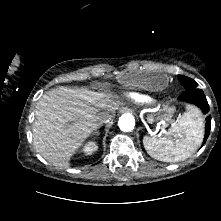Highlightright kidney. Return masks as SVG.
I'll return each instance as SVG.
<instances>
[{
  "mask_svg": "<svg viewBox=\"0 0 221 221\" xmlns=\"http://www.w3.org/2000/svg\"><path fill=\"white\" fill-rule=\"evenodd\" d=\"M98 146L96 145L95 142H88L85 144L83 148V152L86 153L87 155H91L93 152L97 150Z\"/></svg>",
  "mask_w": 221,
  "mask_h": 221,
  "instance_id": "right-kidney-1",
  "label": "right kidney"
}]
</instances>
